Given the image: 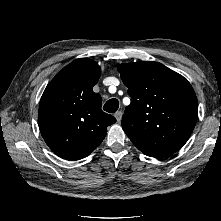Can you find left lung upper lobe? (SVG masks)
<instances>
[{"label":"left lung upper lobe","mask_w":221,"mask_h":221,"mask_svg":"<svg viewBox=\"0 0 221 221\" xmlns=\"http://www.w3.org/2000/svg\"><path fill=\"white\" fill-rule=\"evenodd\" d=\"M121 79L131 103L122 128L145 155L167 157L189 139L198 116V103L190 83L158 62L120 64Z\"/></svg>","instance_id":"5c2ea615"}]
</instances>
